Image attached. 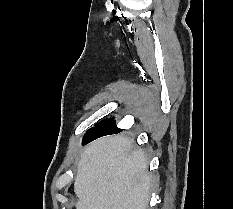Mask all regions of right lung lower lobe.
Listing matches in <instances>:
<instances>
[{"instance_id":"98d812e1","label":"right lung lower lobe","mask_w":233,"mask_h":209,"mask_svg":"<svg viewBox=\"0 0 233 209\" xmlns=\"http://www.w3.org/2000/svg\"><path fill=\"white\" fill-rule=\"evenodd\" d=\"M120 131H121V129L114 126L112 128L104 129L102 131L94 132L89 137H86V138L84 137L83 144H87V143L91 142L92 140L97 139V138L102 137V136H105V135L119 133Z\"/></svg>"}]
</instances>
